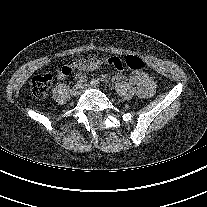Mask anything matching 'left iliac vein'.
Returning a JSON list of instances; mask_svg holds the SVG:
<instances>
[{"label":"left iliac vein","instance_id":"1","mask_svg":"<svg viewBox=\"0 0 207 207\" xmlns=\"http://www.w3.org/2000/svg\"><path fill=\"white\" fill-rule=\"evenodd\" d=\"M89 87H94V88H97V86L96 85H88V84H86V85H84V89H87V88H89Z\"/></svg>","mask_w":207,"mask_h":207}]
</instances>
